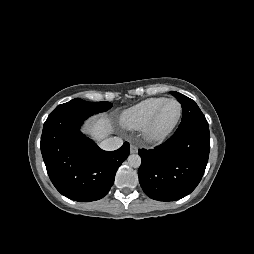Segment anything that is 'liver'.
<instances>
[{
    "label": "liver",
    "mask_w": 254,
    "mask_h": 254,
    "mask_svg": "<svg viewBox=\"0 0 254 254\" xmlns=\"http://www.w3.org/2000/svg\"><path fill=\"white\" fill-rule=\"evenodd\" d=\"M83 132L91 135L96 141H100L113 132V126L107 117L95 116L87 122Z\"/></svg>",
    "instance_id": "liver-1"
}]
</instances>
